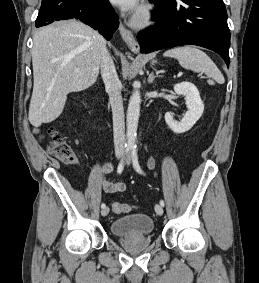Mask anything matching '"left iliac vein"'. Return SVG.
I'll return each instance as SVG.
<instances>
[{
    "label": "left iliac vein",
    "instance_id": "obj_1",
    "mask_svg": "<svg viewBox=\"0 0 259 283\" xmlns=\"http://www.w3.org/2000/svg\"><path fill=\"white\" fill-rule=\"evenodd\" d=\"M126 163L127 164H130V157L128 156L127 157V160H126ZM155 212L159 215V216H162L163 215V207L160 205V204H156L155 205Z\"/></svg>",
    "mask_w": 259,
    "mask_h": 283
}]
</instances>
